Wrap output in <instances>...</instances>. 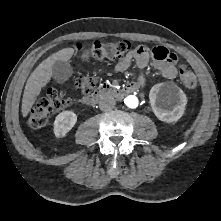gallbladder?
<instances>
[{
  "mask_svg": "<svg viewBox=\"0 0 221 221\" xmlns=\"http://www.w3.org/2000/svg\"><path fill=\"white\" fill-rule=\"evenodd\" d=\"M53 78L57 83L66 82L72 75L73 69L67 61H55L52 67Z\"/></svg>",
  "mask_w": 221,
  "mask_h": 221,
  "instance_id": "obj_1",
  "label": "gallbladder"
}]
</instances>
